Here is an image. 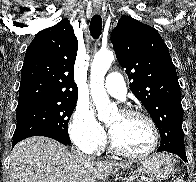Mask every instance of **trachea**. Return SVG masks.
Wrapping results in <instances>:
<instances>
[{
	"instance_id": "obj_1",
	"label": "trachea",
	"mask_w": 196,
	"mask_h": 182,
	"mask_svg": "<svg viewBox=\"0 0 196 182\" xmlns=\"http://www.w3.org/2000/svg\"><path fill=\"white\" fill-rule=\"evenodd\" d=\"M102 31V19L101 16L96 14L92 17L90 22V33L94 39H98Z\"/></svg>"
}]
</instances>
